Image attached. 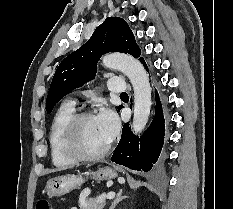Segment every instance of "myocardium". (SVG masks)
Segmentation results:
<instances>
[{
  "label": "myocardium",
  "instance_id": "myocardium-1",
  "mask_svg": "<svg viewBox=\"0 0 233 209\" xmlns=\"http://www.w3.org/2000/svg\"><path fill=\"white\" fill-rule=\"evenodd\" d=\"M90 117H94V114L90 111L76 113L68 121L64 129L62 142L63 150L66 156L75 162H90L99 160L103 158L111 148V142L108 141L105 147L97 153L86 154L79 150L76 144L78 128L85 119Z\"/></svg>",
  "mask_w": 233,
  "mask_h": 209
}]
</instances>
